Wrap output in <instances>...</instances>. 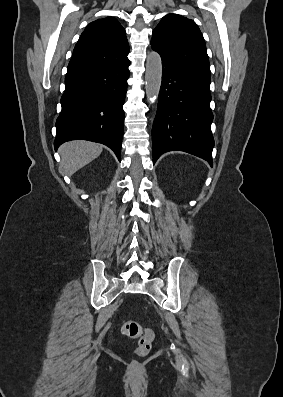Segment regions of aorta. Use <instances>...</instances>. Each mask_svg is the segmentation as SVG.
Segmentation results:
<instances>
[{
	"mask_svg": "<svg viewBox=\"0 0 283 397\" xmlns=\"http://www.w3.org/2000/svg\"><path fill=\"white\" fill-rule=\"evenodd\" d=\"M162 81V61L160 55L151 51L147 56L145 73V90L149 102H154L159 95Z\"/></svg>",
	"mask_w": 283,
	"mask_h": 397,
	"instance_id": "762f6f07",
	"label": "aorta"
}]
</instances>
